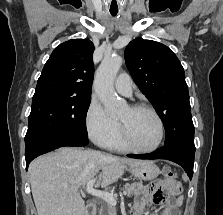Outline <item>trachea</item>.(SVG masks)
<instances>
[{
	"instance_id": "3493384b",
	"label": "trachea",
	"mask_w": 223,
	"mask_h": 215,
	"mask_svg": "<svg viewBox=\"0 0 223 215\" xmlns=\"http://www.w3.org/2000/svg\"><path fill=\"white\" fill-rule=\"evenodd\" d=\"M111 15L115 16L118 13V10H110Z\"/></svg>"
}]
</instances>
